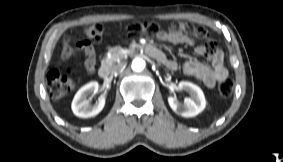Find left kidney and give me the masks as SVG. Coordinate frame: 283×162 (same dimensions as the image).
I'll list each match as a JSON object with an SVG mask.
<instances>
[{
    "label": "left kidney",
    "mask_w": 283,
    "mask_h": 162,
    "mask_svg": "<svg viewBox=\"0 0 283 162\" xmlns=\"http://www.w3.org/2000/svg\"><path fill=\"white\" fill-rule=\"evenodd\" d=\"M178 87L190 96L186 97L183 103L179 102L176 97L169 96L168 103L171 109L185 118L194 117L201 113L206 106L205 96L201 88L188 81H181Z\"/></svg>",
    "instance_id": "5707ae66"
}]
</instances>
